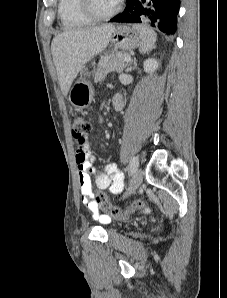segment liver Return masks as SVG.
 Masks as SVG:
<instances>
[{"instance_id":"obj_1","label":"liver","mask_w":227,"mask_h":298,"mask_svg":"<svg viewBox=\"0 0 227 298\" xmlns=\"http://www.w3.org/2000/svg\"><path fill=\"white\" fill-rule=\"evenodd\" d=\"M114 28V25L106 24L70 30L54 37L51 51L64 96H67L72 82L85 64L107 47Z\"/></svg>"}]
</instances>
